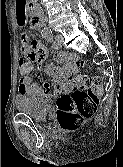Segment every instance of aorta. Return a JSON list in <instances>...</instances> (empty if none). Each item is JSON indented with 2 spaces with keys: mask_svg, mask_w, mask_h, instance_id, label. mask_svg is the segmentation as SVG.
<instances>
[{
  "mask_svg": "<svg viewBox=\"0 0 123 167\" xmlns=\"http://www.w3.org/2000/svg\"><path fill=\"white\" fill-rule=\"evenodd\" d=\"M44 32H45V33H49V32H50V29L44 28Z\"/></svg>",
  "mask_w": 123,
  "mask_h": 167,
  "instance_id": "1",
  "label": "aorta"
}]
</instances>
